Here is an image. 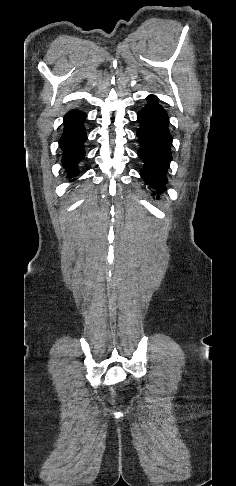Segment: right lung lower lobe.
I'll return each instance as SVG.
<instances>
[{"label": "right lung lower lobe", "instance_id": "obj_1", "mask_svg": "<svg viewBox=\"0 0 236 486\" xmlns=\"http://www.w3.org/2000/svg\"><path fill=\"white\" fill-rule=\"evenodd\" d=\"M86 114L80 110L69 111L63 119L64 129L59 140L62 150V165L67 171L68 178L78 175V163L84 158V142L87 140L83 126Z\"/></svg>", "mask_w": 236, "mask_h": 486}]
</instances>
